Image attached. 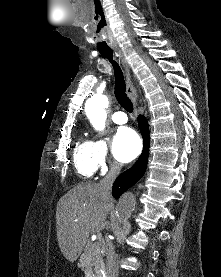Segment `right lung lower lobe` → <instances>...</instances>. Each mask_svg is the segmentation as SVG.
Listing matches in <instances>:
<instances>
[{"label":"right lung lower lobe","mask_w":221,"mask_h":277,"mask_svg":"<svg viewBox=\"0 0 221 277\" xmlns=\"http://www.w3.org/2000/svg\"><path fill=\"white\" fill-rule=\"evenodd\" d=\"M139 128L143 137V151L135 164L120 174L113 184L112 195L119 198L129 187L134 185L144 175L149 155V127L144 116L138 117Z\"/></svg>","instance_id":"right-lung-lower-lobe-1"}]
</instances>
